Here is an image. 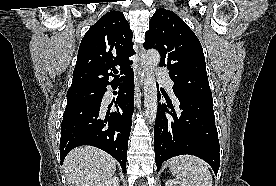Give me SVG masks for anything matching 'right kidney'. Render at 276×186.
<instances>
[{"label":"right kidney","instance_id":"right-kidney-1","mask_svg":"<svg viewBox=\"0 0 276 186\" xmlns=\"http://www.w3.org/2000/svg\"><path fill=\"white\" fill-rule=\"evenodd\" d=\"M102 186H120V181L118 177L115 176L103 183Z\"/></svg>","mask_w":276,"mask_h":186}]
</instances>
